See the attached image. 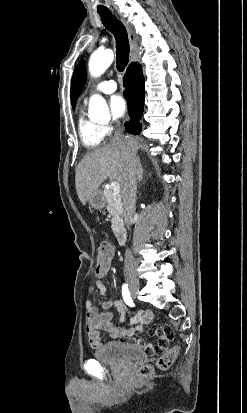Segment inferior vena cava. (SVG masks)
<instances>
[{"label": "inferior vena cava", "mask_w": 247, "mask_h": 413, "mask_svg": "<svg viewBox=\"0 0 247 413\" xmlns=\"http://www.w3.org/2000/svg\"><path fill=\"white\" fill-rule=\"evenodd\" d=\"M111 142H119V144H125L126 150V162L124 166V172L122 174V198L125 215V225L129 227L132 223L133 213H135L136 202V190H137V174L141 170V164L136 156V140L131 136H124L122 130L117 128L114 132V136ZM125 277L127 283H137L136 265L133 259V255L129 249L125 253L124 259Z\"/></svg>", "instance_id": "obj_1"}]
</instances>
